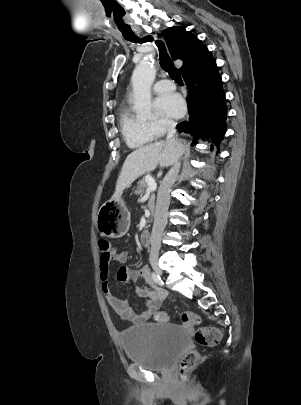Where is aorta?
<instances>
[{
	"label": "aorta",
	"mask_w": 301,
	"mask_h": 405,
	"mask_svg": "<svg viewBox=\"0 0 301 405\" xmlns=\"http://www.w3.org/2000/svg\"><path fill=\"white\" fill-rule=\"evenodd\" d=\"M155 75L156 69L148 59L142 60L133 71L131 82L134 94V109L141 116L151 114V86Z\"/></svg>",
	"instance_id": "762f6f07"
}]
</instances>
